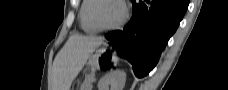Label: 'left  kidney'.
Instances as JSON below:
<instances>
[{"mask_svg":"<svg viewBox=\"0 0 228 90\" xmlns=\"http://www.w3.org/2000/svg\"><path fill=\"white\" fill-rule=\"evenodd\" d=\"M126 82V73L121 70H116L106 74L98 83L99 90H123Z\"/></svg>","mask_w":228,"mask_h":90,"instance_id":"5707ae66","label":"left kidney"}]
</instances>
